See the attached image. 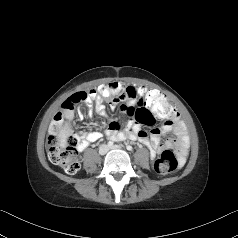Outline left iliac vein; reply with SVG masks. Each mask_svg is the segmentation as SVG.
I'll return each instance as SVG.
<instances>
[{
  "mask_svg": "<svg viewBox=\"0 0 238 238\" xmlns=\"http://www.w3.org/2000/svg\"><path fill=\"white\" fill-rule=\"evenodd\" d=\"M109 149H122V147L120 145H114V146H111Z\"/></svg>",
  "mask_w": 238,
  "mask_h": 238,
  "instance_id": "4c4485c4",
  "label": "left iliac vein"
}]
</instances>
